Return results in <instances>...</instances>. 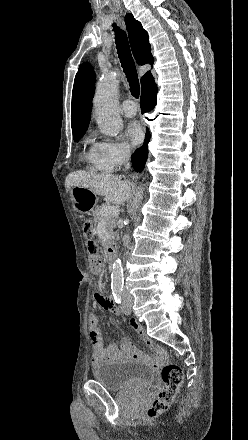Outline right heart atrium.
<instances>
[{"mask_svg": "<svg viewBox=\"0 0 248 440\" xmlns=\"http://www.w3.org/2000/svg\"><path fill=\"white\" fill-rule=\"evenodd\" d=\"M100 163L107 171L120 167L130 156V148L123 141L104 139L96 143Z\"/></svg>", "mask_w": 248, "mask_h": 440, "instance_id": "1", "label": "right heart atrium"}]
</instances>
